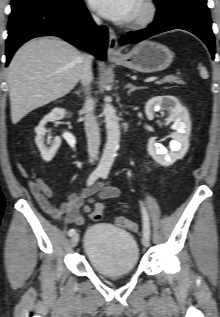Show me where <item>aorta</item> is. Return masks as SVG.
Masks as SVG:
<instances>
[{
    "instance_id": "obj_1",
    "label": "aorta",
    "mask_w": 220,
    "mask_h": 317,
    "mask_svg": "<svg viewBox=\"0 0 220 317\" xmlns=\"http://www.w3.org/2000/svg\"><path fill=\"white\" fill-rule=\"evenodd\" d=\"M103 114L105 117L107 140L98 169L109 171L119 149L120 128L116 110L108 101H105Z\"/></svg>"
}]
</instances>
